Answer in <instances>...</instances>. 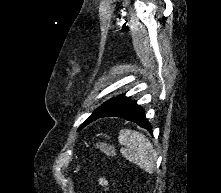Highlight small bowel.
<instances>
[{"label": "small bowel", "mask_w": 221, "mask_h": 193, "mask_svg": "<svg viewBox=\"0 0 221 193\" xmlns=\"http://www.w3.org/2000/svg\"><path fill=\"white\" fill-rule=\"evenodd\" d=\"M99 184L104 188V190H108V181L105 178H100Z\"/></svg>", "instance_id": "small-bowel-1"}]
</instances>
